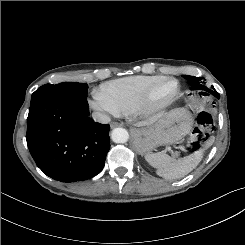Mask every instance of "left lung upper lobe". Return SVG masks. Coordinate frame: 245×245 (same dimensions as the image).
Instances as JSON below:
<instances>
[{
    "instance_id": "obj_1",
    "label": "left lung upper lobe",
    "mask_w": 245,
    "mask_h": 245,
    "mask_svg": "<svg viewBox=\"0 0 245 245\" xmlns=\"http://www.w3.org/2000/svg\"><path fill=\"white\" fill-rule=\"evenodd\" d=\"M183 77L191 82V90L205 91L211 94L214 92L203 85L204 82H202L201 77H194L189 75H183Z\"/></svg>"
}]
</instances>
